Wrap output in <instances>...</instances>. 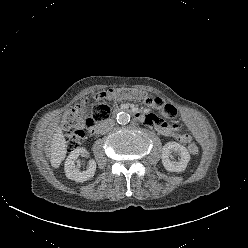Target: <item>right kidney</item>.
I'll use <instances>...</instances> for the list:
<instances>
[{"mask_svg": "<svg viewBox=\"0 0 248 248\" xmlns=\"http://www.w3.org/2000/svg\"><path fill=\"white\" fill-rule=\"evenodd\" d=\"M85 148H76L67 157L65 161V175L68 179L74 180L76 182H84L91 179L96 171V162L91 159L89 160L88 169L86 171H80L75 166V162L79 155H87Z\"/></svg>", "mask_w": 248, "mask_h": 248, "instance_id": "obj_1", "label": "right kidney"}]
</instances>
